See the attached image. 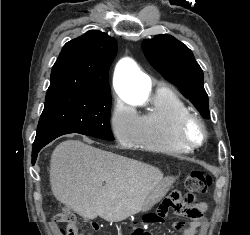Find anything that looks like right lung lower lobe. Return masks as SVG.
Listing matches in <instances>:
<instances>
[{"instance_id": "1", "label": "right lung lower lobe", "mask_w": 250, "mask_h": 235, "mask_svg": "<svg viewBox=\"0 0 250 235\" xmlns=\"http://www.w3.org/2000/svg\"><path fill=\"white\" fill-rule=\"evenodd\" d=\"M74 133L73 131H69L66 129H50L45 130L42 132H39L36 134V138L33 144V150H32V164H35L38 152L48 143H50L55 138L64 135Z\"/></svg>"}]
</instances>
